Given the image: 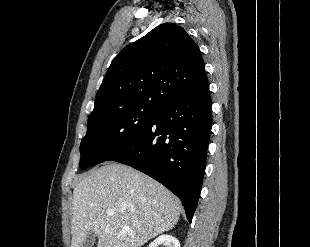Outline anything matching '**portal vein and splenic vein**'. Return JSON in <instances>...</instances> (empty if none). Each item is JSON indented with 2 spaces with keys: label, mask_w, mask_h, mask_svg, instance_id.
Returning a JSON list of instances; mask_svg holds the SVG:
<instances>
[{
  "label": "portal vein and splenic vein",
  "mask_w": 310,
  "mask_h": 247,
  "mask_svg": "<svg viewBox=\"0 0 310 247\" xmlns=\"http://www.w3.org/2000/svg\"><path fill=\"white\" fill-rule=\"evenodd\" d=\"M106 214H107L108 216H112V215L114 214V212H113L112 210H107V211H106ZM122 228H123V230H125L128 234H133V231L130 230L129 227L124 226V227H122Z\"/></svg>",
  "instance_id": "portal-vein-and-splenic-vein-1"
}]
</instances>
